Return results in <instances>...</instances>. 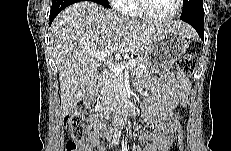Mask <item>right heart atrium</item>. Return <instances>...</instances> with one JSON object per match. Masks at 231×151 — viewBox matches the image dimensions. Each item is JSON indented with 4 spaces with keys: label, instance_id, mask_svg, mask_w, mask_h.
Wrapping results in <instances>:
<instances>
[{
    "label": "right heart atrium",
    "instance_id": "right-heart-atrium-1",
    "mask_svg": "<svg viewBox=\"0 0 231 151\" xmlns=\"http://www.w3.org/2000/svg\"><path fill=\"white\" fill-rule=\"evenodd\" d=\"M110 3L113 5V7L116 10H119V11L125 10L126 0H111Z\"/></svg>",
    "mask_w": 231,
    "mask_h": 151
}]
</instances>
